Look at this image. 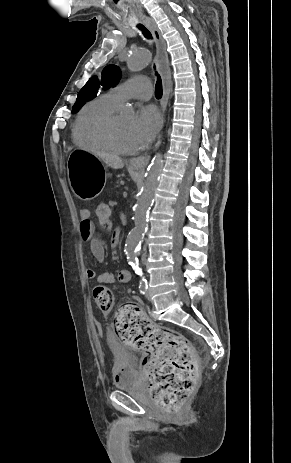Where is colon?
<instances>
[{
    "label": "colon",
    "mask_w": 291,
    "mask_h": 463,
    "mask_svg": "<svg viewBox=\"0 0 291 463\" xmlns=\"http://www.w3.org/2000/svg\"><path fill=\"white\" fill-rule=\"evenodd\" d=\"M111 216V202L93 206L99 226H110ZM93 299L100 310H112L114 296L106 286H96ZM114 329L123 343L144 353L142 374L154 399L176 413L189 398L198 377L197 359L188 341L176 331L157 328L137 306L129 304L117 309Z\"/></svg>",
    "instance_id": "obj_1"
}]
</instances>
